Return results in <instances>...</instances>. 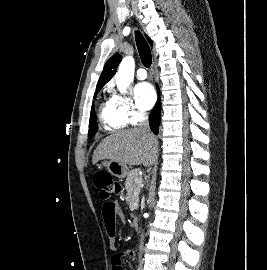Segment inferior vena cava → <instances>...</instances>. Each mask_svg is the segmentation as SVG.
<instances>
[{"label":"inferior vena cava","mask_w":267,"mask_h":270,"mask_svg":"<svg viewBox=\"0 0 267 270\" xmlns=\"http://www.w3.org/2000/svg\"><path fill=\"white\" fill-rule=\"evenodd\" d=\"M139 127L147 132H149V122H148V116L146 113H143L141 116V120L139 123ZM143 245H140V251L142 250Z\"/></svg>","instance_id":"obj_1"}]
</instances>
